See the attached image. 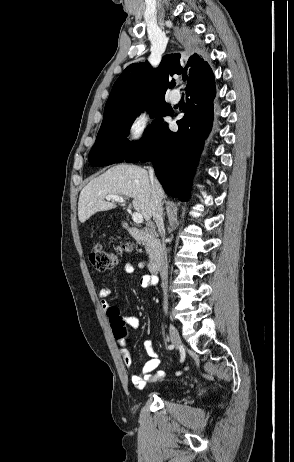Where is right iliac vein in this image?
<instances>
[{"label":"right iliac vein","instance_id":"right-iliac-vein-1","mask_svg":"<svg viewBox=\"0 0 294 462\" xmlns=\"http://www.w3.org/2000/svg\"><path fill=\"white\" fill-rule=\"evenodd\" d=\"M169 334L172 344L175 346L176 349H180L182 347V342L180 339L179 332L177 328L171 323L169 324Z\"/></svg>","mask_w":294,"mask_h":462}]
</instances>
